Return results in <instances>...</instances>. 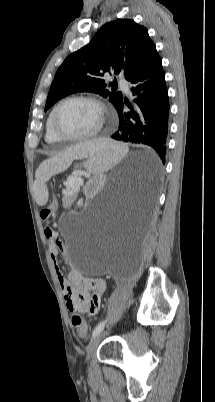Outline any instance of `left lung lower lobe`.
I'll use <instances>...</instances> for the list:
<instances>
[{
    "label": "left lung lower lobe",
    "mask_w": 215,
    "mask_h": 402,
    "mask_svg": "<svg viewBox=\"0 0 215 402\" xmlns=\"http://www.w3.org/2000/svg\"><path fill=\"white\" fill-rule=\"evenodd\" d=\"M134 105L121 100L116 106L119 115L118 130L113 139L141 143L152 147L162 163H165L169 122V97L160 57L154 59L139 73L130 77ZM127 105L130 111L125 112ZM161 171L160 162H155L153 170L145 171V178L153 184Z\"/></svg>",
    "instance_id": "0a47b994"
}]
</instances>
